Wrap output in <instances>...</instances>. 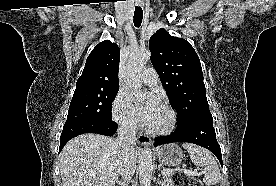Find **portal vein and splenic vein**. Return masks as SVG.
I'll return each instance as SVG.
<instances>
[{
    "instance_id": "1",
    "label": "portal vein and splenic vein",
    "mask_w": 276,
    "mask_h": 186,
    "mask_svg": "<svg viewBox=\"0 0 276 186\" xmlns=\"http://www.w3.org/2000/svg\"><path fill=\"white\" fill-rule=\"evenodd\" d=\"M181 171H183L184 173L188 174V175H192V176H196L198 175L197 170L191 171V170H187V169H181ZM161 174L165 177V176H169L170 174H173V170H162Z\"/></svg>"
}]
</instances>
